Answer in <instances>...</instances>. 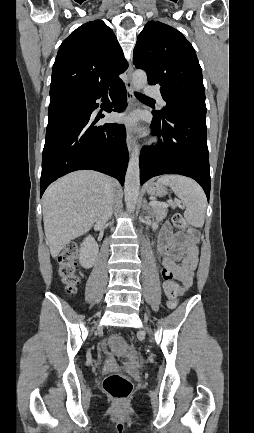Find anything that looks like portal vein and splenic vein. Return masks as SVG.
I'll return each instance as SVG.
<instances>
[{
    "label": "portal vein and splenic vein",
    "instance_id": "portal-vein-and-splenic-vein-1",
    "mask_svg": "<svg viewBox=\"0 0 254 433\" xmlns=\"http://www.w3.org/2000/svg\"><path fill=\"white\" fill-rule=\"evenodd\" d=\"M175 203H176V204H180V201H179V200H176ZM150 205H151V206H156V205L166 206L167 204H165V203H160V202H156V201H152V202H150Z\"/></svg>",
    "mask_w": 254,
    "mask_h": 433
}]
</instances>
